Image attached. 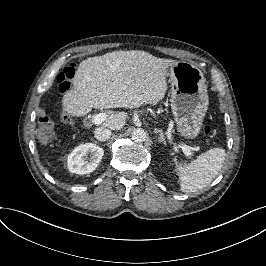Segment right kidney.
Masks as SVG:
<instances>
[{
    "mask_svg": "<svg viewBox=\"0 0 266 266\" xmlns=\"http://www.w3.org/2000/svg\"><path fill=\"white\" fill-rule=\"evenodd\" d=\"M69 156L73 160L74 173L87 174L98 166L103 149L95 144H84L76 147Z\"/></svg>",
    "mask_w": 266,
    "mask_h": 266,
    "instance_id": "obj_1",
    "label": "right kidney"
}]
</instances>
